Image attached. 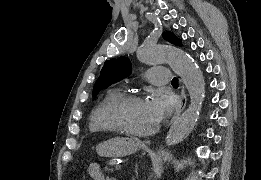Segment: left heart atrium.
<instances>
[{"instance_id":"left-heart-atrium-1","label":"left heart atrium","mask_w":261,"mask_h":180,"mask_svg":"<svg viewBox=\"0 0 261 180\" xmlns=\"http://www.w3.org/2000/svg\"><path fill=\"white\" fill-rule=\"evenodd\" d=\"M148 101L150 108L157 117L171 114L177 107V98L168 91L156 90L152 93Z\"/></svg>"}]
</instances>
